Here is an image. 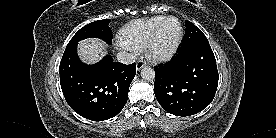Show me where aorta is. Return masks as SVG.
<instances>
[{
    "mask_svg": "<svg viewBox=\"0 0 276 138\" xmlns=\"http://www.w3.org/2000/svg\"><path fill=\"white\" fill-rule=\"evenodd\" d=\"M141 77L146 81H152L155 78V71L151 67H143Z\"/></svg>",
    "mask_w": 276,
    "mask_h": 138,
    "instance_id": "762f6f07",
    "label": "aorta"
}]
</instances>
